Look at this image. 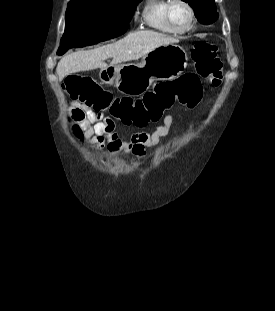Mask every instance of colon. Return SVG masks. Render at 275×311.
<instances>
[{
	"mask_svg": "<svg viewBox=\"0 0 275 311\" xmlns=\"http://www.w3.org/2000/svg\"><path fill=\"white\" fill-rule=\"evenodd\" d=\"M196 73H185L171 81L158 83L152 91L138 99L115 98L90 76L73 74L66 78L64 86L73 102L86 105L98 113L110 111L124 125H136V129H149L150 122L161 121V116L175 104L189 108L201 100L200 77L212 79L220 75L222 63L215 44L198 41L192 49Z\"/></svg>",
	"mask_w": 275,
	"mask_h": 311,
	"instance_id": "1",
	"label": "colon"
}]
</instances>
